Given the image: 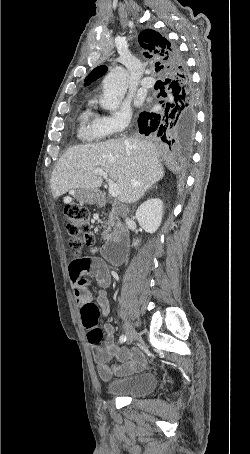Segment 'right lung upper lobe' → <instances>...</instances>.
I'll use <instances>...</instances> for the list:
<instances>
[{"label":"right lung upper lobe","instance_id":"obj_1","mask_svg":"<svg viewBox=\"0 0 250 454\" xmlns=\"http://www.w3.org/2000/svg\"><path fill=\"white\" fill-rule=\"evenodd\" d=\"M139 45L145 51L144 55L147 58L156 60V71H160L164 76L169 74L172 69V60L169 53L170 42L160 33L145 29L138 36ZM107 72L106 66H99L93 69L85 79V85L100 78Z\"/></svg>","mask_w":250,"mask_h":454}]
</instances>
